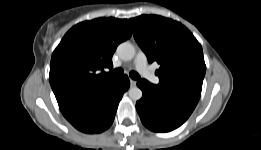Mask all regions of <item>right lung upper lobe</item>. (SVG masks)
Returning <instances> with one entry per match:
<instances>
[{"mask_svg": "<svg viewBox=\"0 0 261 150\" xmlns=\"http://www.w3.org/2000/svg\"><path fill=\"white\" fill-rule=\"evenodd\" d=\"M132 35L127 19L98 18L72 27L54 50L49 80L63 115L103 95L119 79L104 71L112 69L119 43Z\"/></svg>", "mask_w": 261, "mask_h": 150, "instance_id": "cb5924a9", "label": "right lung upper lobe"}]
</instances>
